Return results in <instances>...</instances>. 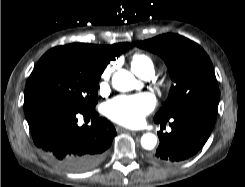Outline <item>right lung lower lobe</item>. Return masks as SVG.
<instances>
[{"instance_id": "right-lung-lower-lobe-1", "label": "right lung lower lobe", "mask_w": 245, "mask_h": 187, "mask_svg": "<svg viewBox=\"0 0 245 187\" xmlns=\"http://www.w3.org/2000/svg\"><path fill=\"white\" fill-rule=\"evenodd\" d=\"M79 114L90 117L91 125L78 126ZM26 119L35 145L51 161L71 172L97 166L116 135L114 126L99 118L95 110L52 105L26 114Z\"/></svg>"}]
</instances>
